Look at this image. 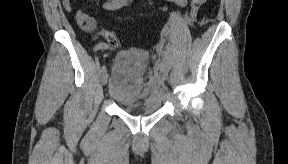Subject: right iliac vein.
Here are the masks:
<instances>
[{
    "mask_svg": "<svg viewBox=\"0 0 288 164\" xmlns=\"http://www.w3.org/2000/svg\"><path fill=\"white\" fill-rule=\"evenodd\" d=\"M101 81L103 85H106L108 81L107 70L104 66L101 69Z\"/></svg>",
    "mask_w": 288,
    "mask_h": 164,
    "instance_id": "1",
    "label": "right iliac vein"
}]
</instances>
